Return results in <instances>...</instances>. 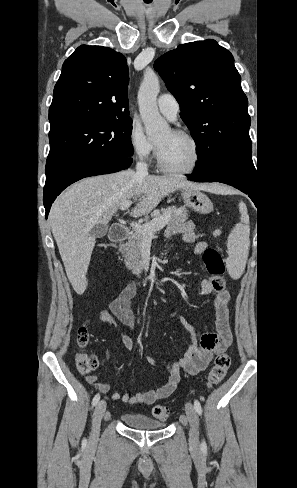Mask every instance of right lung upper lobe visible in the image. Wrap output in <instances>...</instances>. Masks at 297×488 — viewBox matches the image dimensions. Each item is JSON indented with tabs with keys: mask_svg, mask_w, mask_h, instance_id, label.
Listing matches in <instances>:
<instances>
[{
	"mask_svg": "<svg viewBox=\"0 0 297 488\" xmlns=\"http://www.w3.org/2000/svg\"><path fill=\"white\" fill-rule=\"evenodd\" d=\"M129 74L125 57L103 46H79L65 60L49 108L50 132L126 119Z\"/></svg>",
	"mask_w": 297,
	"mask_h": 488,
	"instance_id": "right-lung-upper-lobe-1",
	"label": "right lung upper lobe"
}]
</instances>
